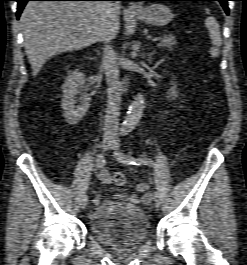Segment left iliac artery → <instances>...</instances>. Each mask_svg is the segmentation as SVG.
<instances>
[{"label": "left iliac artery", "mask_w": 247, "mask_h": 265, "mask_svg": "<svg viewBox=\"0 0 247 265\" xmlns=\"http://www.w3.org/2000/svg\"><path fill=\"white\" fill-rule=\"evenodd\" d=\"M116 158L119 162L132 164V165H148V166H156L153 160L149 158H136L128 156L122 152L115 153Z\"/></svg>", "instance_id": "44dca946"}]
</instances>
